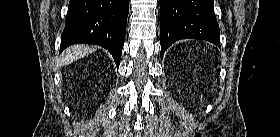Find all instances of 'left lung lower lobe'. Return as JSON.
Returning <instances> with one entry per match:
<instances>
[{
    "label": "left lung lower lobe",
    "mask_w": 280,
    "mask_h": 137,
    "mask_svg": "<svg viewBox=\"0 0 280 137\" xmlns=\"http://www.w3.org/2000/svg\"><path fill=\"white\" fill-rule=\"evenodd\" d=\"M181 39H201L220 45L213 0H160L161 58Z\"/></svg>",
    "instance_id": "left-lung-lower-lobe-1"
}]
</instances>
